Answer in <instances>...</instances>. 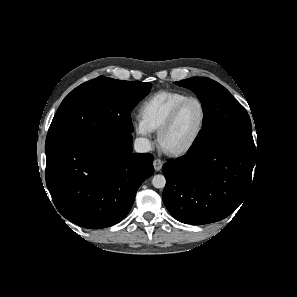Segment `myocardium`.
Instances as JSON below:
<instances>
[{"mask_svg": "<svg viewBox=\"0 0 297 297\" xmlns=\"http://www.w3.org/2000/svg\"><path fill=\"white\" fill-rule=\"evenodd\" d=\"M190 102L198 103V105L201 108V122H200L199 128H198L197 132L195 133L194 137L191 139V141L187 145H185L184 147H182L180 149H175V150L167 149L163 145L164 136L173 127V125L175 124V122H176L180 112L182 111V109ZM206 122H207V110H206L205 105L203 104V102L199 98L188 97L187 99L180 102L172 110V112L170 113L168 118L165 120V122L162 124V126L157 131V144H158V147L166 155L171 156V157H181V156H184V155L188 154L189 152H191L194 149V147L199 142V140H200V138H201V136H202V134H203V132L205 130Z\"/></svg>", "mask_w": 297, "mask_h": 297, "instance_id": "f54148a6", "label": "myocardium"}]
</instances>
